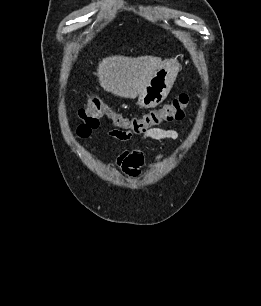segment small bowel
<instances>
[{
  "label": "small bowel",
  "mask_w": 261,
  "mask_h": 306,
  "mask_svg": "<svg viewBox=\"0 0 261 306\" xmlns=\"http://www.w3.org/2000/svg\"><path fill=\"white\" fill-rule=\"evenodd\" d=\"M110 135L114 138L124 140L121 138L115 130L110 132ZM179 133L174 129L153 128L144 133L141 140L153 139V140H177ZM164 158V154L160 153L155 156L154 164L157 165ZM145 163L144 154L140 148H135L129 151H123L116 159L117 167L128 177L137 178L141 175V168Z\"/></svg>",
  "instance_id": "small-bowel-1"
}]
</instances>
